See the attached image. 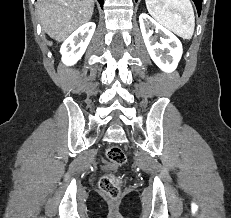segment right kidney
<instances>
[{
	"label": "right kidney",
	"mask_w": 231,
	"mask_h": 218,
	"mask_svg": "<svg viewBox=\"0 0 231 218\" xmlns=\"http://www.w3.org/2000/svg\"><path fill=\"white\" fill-rule=\"evenodd\" d=\"M95 23L88 22L80 26L62 44L60 53L62 62L67 66H72L81 59L95 31Z\"/></svg>",
	"instance_id": "right-kidney-1"
}]
</instances>
